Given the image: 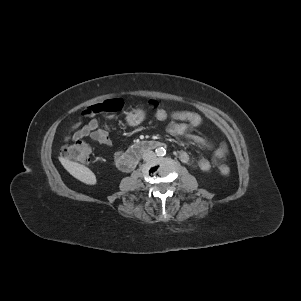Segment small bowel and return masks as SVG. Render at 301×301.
<instances>
[{
    "instance_id": "obj_1",
    "label": "small bowel",
    "mask_w": 301,
    "mask_h": 301,
    "mask_svg": "<svg viewBox=\"0 0 301 301\" xmlns=\"http://www.w3.org/2000/svg\"><path fill=\"white\" fill-rule=\"evenodd\" d=\"M156 117L161 121H168L167 132L175 137H185L198 146L201 147H211V143L204 137L190 132V127H193L189 122H183L181 119L174 118L172 112L169 113L166 110L160 108L156 111ZM81 119L77 120L72 124L69 131L65 135L67 141H79L85 137H90L94 142L110 147L112 145V140L106 129L100 127V122L97 119H92L86 125L80 127ZM226 154V145L224 143L219 144L213 153L212 160L201 157L195 162L196 166L204 172L211 169L212 164L217 163L219 160L223 159ZM124 156L123 151H117L112 155L113 163L120 168L121 160ZM179 158L182 162L186 164H191L192 159L189 154L185 151L179 153ZM121 169V168H120Z\"/></svg>"
}]
</instances>
